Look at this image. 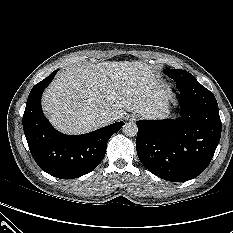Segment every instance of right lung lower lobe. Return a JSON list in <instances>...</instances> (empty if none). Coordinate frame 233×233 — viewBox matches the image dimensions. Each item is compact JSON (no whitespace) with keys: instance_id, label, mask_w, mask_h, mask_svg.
<instances>
[{"instance_id":"1","label":"right lung lower lobe","mask_w":233,"mask_h":233,"mask_svg":"<svg viewBox=\"0 0 233 233\" xmlns=\"http://www.w3.org/2000/svg\"><path fill=\"white\" fill-rule=\"evenodd\" d=\"M57 72L53 71L32 88L23 115V129L38 166L54 177L73 179L91 172L100 164L109 138L124 123H113L77 136L56 131L42 112L41 96Z\"/></svg>"}]
</instances>
